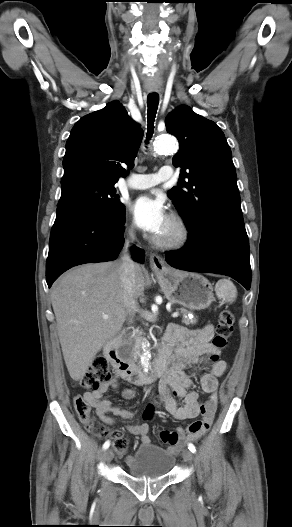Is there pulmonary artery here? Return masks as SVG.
I'll use <instances>...</instances> for the list:
<instances>
[{
	"label": "pulmonary artery",
	"instance_id": "e3ab8cb5",
	"mask_svg": "<svg viewBox=\"0 0 292 527\" xmlns=\"http://www.w3.org/2000/svg\"><path fill=\"white\" fill-rule=\"evenodd\" d=\"M172 175L173 170L170 166H162L157 173L131 175L126 185L131 189H147L169 180Z\"/></svg>",
	"mask_w": 292,
	"mask_h": 527
}]
</instances>
